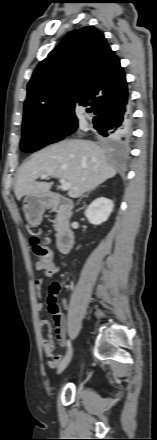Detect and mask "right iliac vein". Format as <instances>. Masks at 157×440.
Listing matches in <instances>:
<instances>
[{"mask_svg": "<svg viewBox=\"0 0 157 440\" xmlns=\"http://www.w3.org/2000/svg\"><path fill=\"white\" fill-rule=\"evenodd\" d=\"M73 352L72 350L66 355V357L61 361V363L58 365L57 373H62L66 367L69 365L71 359H72Z\"/></svg>", "mask_w": 157, "mask_h": 440, "instance_id": "obj_1", "label": "right iliac vein"}]
</instances>
